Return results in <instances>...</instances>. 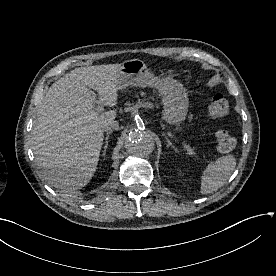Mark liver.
<instances>
[{"instance_id": "obj_1", "label": "liver", "mask_w": 276, "mask_h": 276, "mask_svg": "<svg viewBox=\"0 0 276 276\" xmlns=\"http://www.w3.org/2000/svg\"><path fill=\"white\" fill-rule=\"evenodd\" d=\"M121 64L76 68L54 82L40 102L33 127V149L48 183L75 197L92 179L103 144V125L116 110L99 114L98 101L116 106Z\"/></svg>"}]
</instances>
